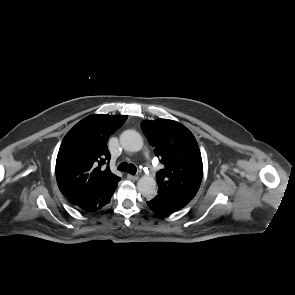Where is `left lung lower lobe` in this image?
<instances>
[{"instance_id":"0a47b994","label":"left lung lower lobe","mask_w":295,"mask_h":295,"mask_svg":"<svg viewBox=\"0 0 295 295\" xmlns=\"http://www.w3.org/2000/svg\"><path fill=\"white\" fill-rule=\"evenodd\" d=\"M191 199L175 195L163 190H158V194L147 202L149 208L162 216L170 215L185 207Z\"/></svg>"}]
</instances>
